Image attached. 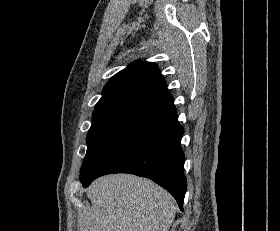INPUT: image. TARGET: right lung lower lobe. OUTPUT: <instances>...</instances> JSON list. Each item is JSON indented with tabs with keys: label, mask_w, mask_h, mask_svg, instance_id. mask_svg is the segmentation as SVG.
I'll list each match as a JSON object with an SVG mask.
<instances>
[{
	"label": "right lung lower lobe",
	"mask_w": 280,
	"mask_h": 231,
	"mask_svg": "<svg viewBox=\"0 0 280 231\" xmlns=\"http://www.w3.org/2000/svg\"><path fill=\"white\" fill-rule=\"evenodd\" d=\"M184 133L175 109L135 124L100 150L80 173L83 187L102 175L130 173L152 179L176 199L183 211L187 189Z\"/></svg>",
	"instance_id": "obj_1"
}]
</instances>
